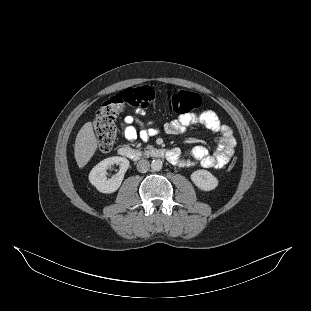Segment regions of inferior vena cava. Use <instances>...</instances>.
Masks as SVG:
<instances>
[{
  "instance_id": "1",
  "label": "inferior vena cava",
  "mask_w": 311,
  "mask_h": 311,
  "mask_svg": "<svg viewBox=\"0 0 311 311\" xmlns=\"http://www.w3.org/2000/svg\"><path fill=\"white\" fill-rule=\"evenodd\" d=\"M150 168V163L146 159H142L137 163V170L141 173H146Z\"/></svg>"
}]
</instances>
